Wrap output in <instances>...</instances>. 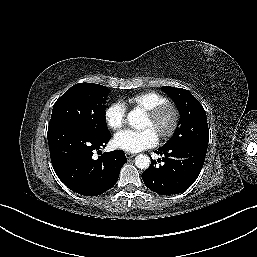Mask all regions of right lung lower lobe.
<instances>
[{
	"mask_svg": "<svg viewBox=\"0 0 257 257\" xmlns=\"http://www.w3.org/2000/svg\"><path fill=\"white\" fill-rule=\"evenodd\" d=\"M111 134L96 135L79 126L48 129V144L53 168L58 178L72 191L97 196L111 189L127 162L122 150L103 153L94 159L93 152L105 147Z\"/></svg>",
	"mask_w": 257,
	"mask_h": 257,
	"instance_id": "obj_1",
	"label": "right lung lower lobe"
}]
</instances>
